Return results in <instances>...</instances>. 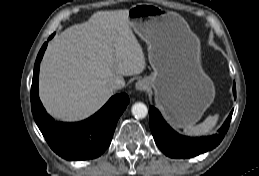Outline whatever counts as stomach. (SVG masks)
Listing matches in <instances>:
<instances>
[{"mask_svg":"<svg viewBox=\"0 0 259 176\" xmlns=\"http://www.w3.org/2000/svg\"><path fill=\"white\" fill-rule=\"evenodd\" d=\"M128 19L148 44L153 73L145 80L156 105L176 127L196 123L215 97L214 85L200 67L199 40L180 16L157 5H133Z\"/></svg>","mask_w":259,"mask_h":176,"instance_id":"1","label":"stomach"}]
</instances>
